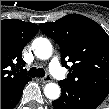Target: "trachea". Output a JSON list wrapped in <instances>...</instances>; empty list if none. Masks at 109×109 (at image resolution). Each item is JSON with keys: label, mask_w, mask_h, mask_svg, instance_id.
Instances as JSON below:
<instances>
[{"label": "trachea", "mask_w": 109, "mask_h": 109, "mask_svg": "<svg viewBox=\"0 0 109 109\" xmlns=\"http://www.w3.org/2000/svg\"><path fill=\"white\" fill-rule=\"evenodd\" d=\"M28 75L30 77H44L45 76V71L43 68H36V67H32L29 71H28Z\"/></svg>", "instance_id": "trachea-1"}]
</instances>
